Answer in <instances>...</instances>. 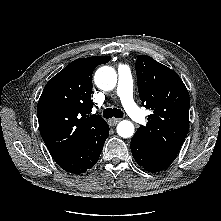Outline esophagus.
I'll use <instances>...</instances> for the list:
<instances>
[{"label":"esophagus","mask_w":221,"mask_h":221,"mask_svg":"<svg viewBox=\"0 0 221 221\" xmlns=\"http://www.w3.org/2000/svg\"><path fill=\"white\" fill-rule=\"evenodd\" d=\"M120 121H121V119H119V118H113V119L109 120V124H110V126H116Z\"/></svg>","instance_id":"34e87169"}]
</instances>
